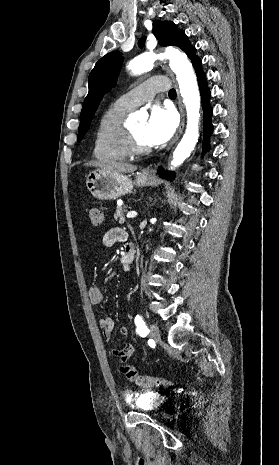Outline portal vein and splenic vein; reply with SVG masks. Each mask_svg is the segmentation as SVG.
<instances>
[{
  "instance_id": "1",
  "label": "portal vein and splenic vein",
  "mask_w": 279,
  "mask_h": 465,
  "mask_svg": "<svg viewBox=\"0 0 279 465\" xmlns=\"http://www.w3.org/2000/svg\"><path fill=\"white\" fill-rule=\"evenodd\" d=\"M137 213L135 211H130L127 213V218H135Z\"/></svg>"
}]
</instances>
